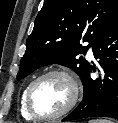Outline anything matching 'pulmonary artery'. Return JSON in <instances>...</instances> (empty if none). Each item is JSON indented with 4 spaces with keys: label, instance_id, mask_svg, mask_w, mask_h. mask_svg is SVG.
Listing matches in <instances>:
<instances>
[{
    "label": "pulmonary artery",
    "instance_id": "e3ab8cb5",
    "mask_svg": "<svg viewBox=\"0 0 118 123\" xmlns=\"http://www.w3.org/2000/svg\"><path fill=\"white\" fill-rule=\"evenodd\" d=\"M87 56H88L89 59L93 58V48H92V46L89 47Z\"/></svg>",
    "mask_w": 118,
    "mask_h": 123
}]
</instances>
